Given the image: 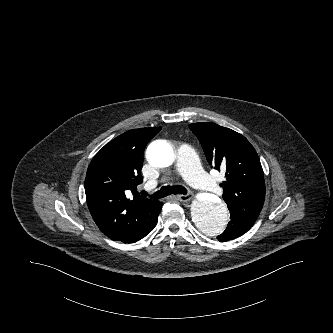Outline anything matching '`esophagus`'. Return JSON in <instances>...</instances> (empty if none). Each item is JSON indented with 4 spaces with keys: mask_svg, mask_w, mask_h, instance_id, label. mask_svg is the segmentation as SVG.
Returning <instances> with one entry per match:
<instances>
[{
    "mask_svg": "<svg viewBox=\"0 0 333 333\" xmlns=\"http://www.w3.org/2000/svg\"><path fill=\"white\" fill-rule=\"evenodd\" d=\"M177 199L181 202H188L191 200V194H179L177 195Z\"/></svg>",
    "mask_w": 333,
    "mask_h": 333,
    "instance_id": "34e87169",
    "label": "esophagus"
}]
</instances>
